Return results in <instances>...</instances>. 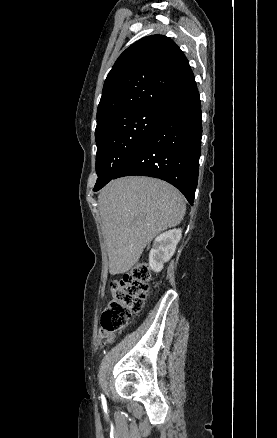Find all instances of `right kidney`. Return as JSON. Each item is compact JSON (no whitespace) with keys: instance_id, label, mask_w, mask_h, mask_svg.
Segmentation results:
<instances>
[{"instance_id":"obj_1","label":"right kidney","mask_w":277,"mask_h":438,"mask_svg":"<svg viewBox=\"0 0 277 438\" xmlns=\"http://www.w3.org/2000/svg\"><path fill=\"white\" fill-rule=\"evenodd\" d=\"M182 238V230H169L157 236L149 254V266L153 272H161L163 264L172 258L178 242Z\"/></svg>"}]
</instances>
